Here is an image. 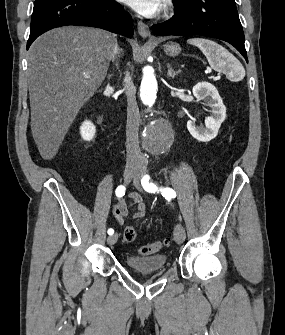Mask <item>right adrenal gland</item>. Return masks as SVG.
Instances as JSON below:
<instances>
[{
    "label": "right adrenal gland",
    "instance_id": "1",
    "mask_svg": "<svg viewBox=\"0 0 285 335\" xmlns=\"http://www.w3.org/2000/svg\"><path fill=\"white\" fill-rule=\"evenodd\" d=\"M115 66H118L117 62L115 64ZM112 74H108L107 78H111Z\"/></svg>",
    "mask_w": 285,
    "mask_h": 335
}]
</instances>
